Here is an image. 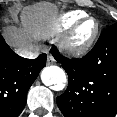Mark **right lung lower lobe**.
<instances>
[{"mask_svg": "<svg viewBox=\"0 0 117 117\" xmlns=\"http://www.w3.org/2000/svg\"><path fill=\"white\" fill-rule=\"evenodd\" d=\"M46 65V54L25 59L13 52L0 35V117H18L27 92Z\"/></svg>", "mask_w": 117, "mask_h": 117, "instance_id": "right-lung-lower-lobe-1", "label": "right lung lower lobe"}]
</instances>
